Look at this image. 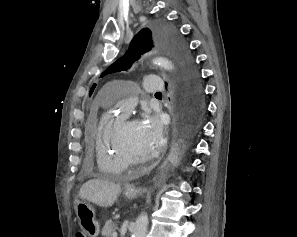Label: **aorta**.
<instances>
[{
    "label": "aorta",
    "instance_id": "aorta-1",
    "mask_svg": "<svg viewBox=\"0 0 297 237\" xmlns=\"http://www.w3.org/2000/svg\"><path fill=\"white\" fill-rule=\"evenodd\" d=\"M153 62L154 64L162 67L165 70L172 71L174 69V65L172 64V62L166 58L159 57V58H156ZM148 223L149 221H148L147 214L146 213L140 214L136 220L132 237H145Z\"/></svg>",
    "mask_w": 297,
    "mask_h": 237
}]
</instances>
